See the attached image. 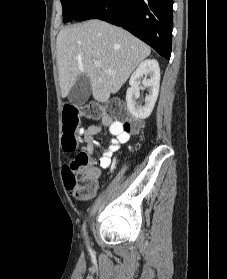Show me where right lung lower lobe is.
Instances as JSON below:
<instances>
[{
    "mask_svg": "<svg viewBox=\"0 0 227 279\" xmlns=\"http://www.w3.org/2000/svg\"><path fill=\"white\" fill-rule=\"evenodd\" d=\"M173 0H91L74 19H101L121 26L170 59Z\"/></svg>",
    "mask_w": 227,
    "mask_h": 279,
    "instance_id": "1",
    "label": "right lung lower lobe"
}]
</instances>
